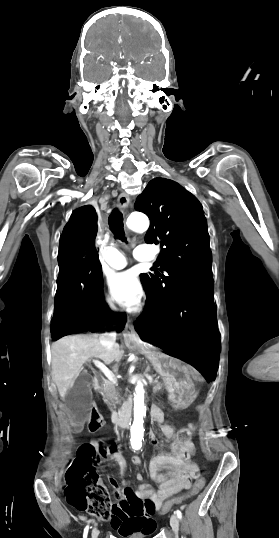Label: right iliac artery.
Wrapping results in <instances>:
<instances>
[{
	"instance_id": "82829eb1",
	"label": "right iliac artery",
	"mask_w": 279,
	"mask_h": 538,
	"mask_svg": "<svg viewBox=\"0 0 279 538\" xmlns=\"http://www.w3.org/2000/svg\"><path fill=\"white\" fill-rule=\"evenodd\" d=\"M88 529H89V526H86V528L84 529L83 538H87Z\"/></svg>"
}]
</instances>
